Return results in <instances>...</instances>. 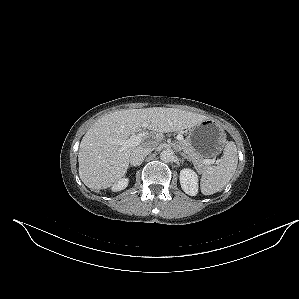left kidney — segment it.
<instances>
[{
  "instance_id": "obj_1",
  "label": "left kidney",
  "mask_w": 299,
  "mask_h": 299,
  "mask_svg": "<svg viewBox=\"0 0 299 299\" xmlns=\"http://www.w3.org/2000/svg\"><path fill=\"white\" fill-rule=\"evenodd\" d=\"M180 184L183 191L190 195L195 196L198 193V176L191 169H182L180 171Z\"/></svg>"
}]
</instances>
